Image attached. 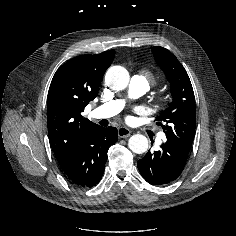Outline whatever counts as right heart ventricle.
<instances>
[{
	"label": "right heart ventricle",
	"mask_w": 236,
	"mask_h": 236,
	"mask_svg": "<svg viewBox=\"0 0 236 236\" xmlns=\"http://www.w3.org/2000/svg\"><path fill=\"white\" fill-rule=\"evenodd\" d=\"M141 77H143L147 82L152 81L153 79L151 73L148 71L144 72Z\"/></svg>",
	"instance_id": "1"
}]
</instances>
